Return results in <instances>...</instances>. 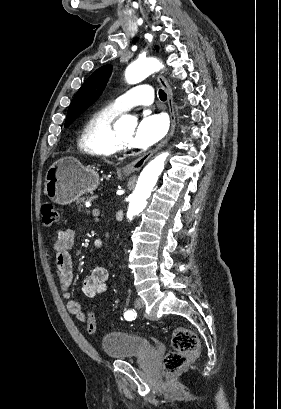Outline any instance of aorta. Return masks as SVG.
Segmentation results:
<instances>
[{
  "label": "aorta",
  "instance_id": "1",
  "mask_svg": "<svg viewBox=\"0 0 281 409\" xmlns=\"http://www.w3.org/2000/svg\"><path fill=\"white\" fill-rule=\"evenodd\" d=\"M163 68L162 63L156 58L138 59L131 63L125 72L126 81L129 84H137L152 73ZM119 128H134L135 119L130 115H124L117 122ZM168 153H162L150 161L142 170L136 188L130 196L127 217L132 219L134 215L143 211L147 199L155 186L159 175L162 173Z\"/></svg>",
  "mask_w": 281,
  "mask_h": 409
}]
</instances>
